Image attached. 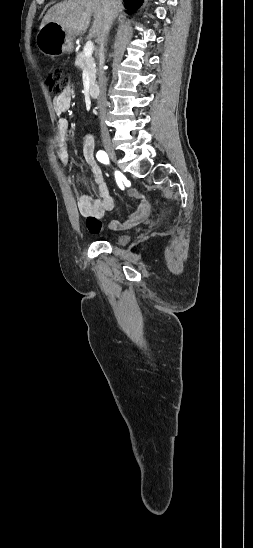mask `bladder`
Returning a JSON list of instances; mask_svg holds the SVG:
<instances>
[{
    "label": "bladder",
    "instance_id": "bladder-1",
    "mask_svg": "<svg viewBox=\"0 0 253 548\" xmlns=\"http://www.w3.org/2000/svg\"><path fill=\"white\" fill-rule=\"evenodd\" d=\"M111 239L119 244H125L129 241L130 236L127 234H116L111 236Z\"/></svg>",
    "mask_w": 253,
    "mask_h": 548
}]
</instances>
